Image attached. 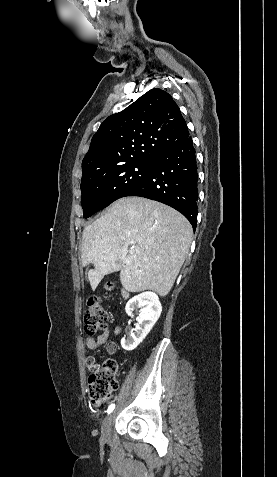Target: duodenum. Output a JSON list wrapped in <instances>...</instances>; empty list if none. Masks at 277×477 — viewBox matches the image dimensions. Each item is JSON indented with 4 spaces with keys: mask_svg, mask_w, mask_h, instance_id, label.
Wrapping results in <instances>:
<instances>
[{
    "mask_svg": "<svg viewBox=\"0 0 277 477\" xmlns=\"http://www.w3.org/2000/svg\"><path fill=\"white\" fill-rule=\"evenodd\" d=\"M129 293L126 290H122V296L123 298H127Z\"/></svg>",
    "mask_w": 277,
    "mask_h": 477,
    "instance_id": "duodenum-1",
    "label": "duodenum"
}]
</instances>
